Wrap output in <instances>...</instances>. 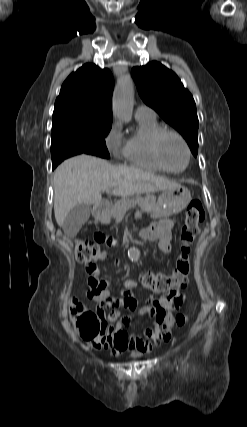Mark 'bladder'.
<instances>
[{
  "label": "bladder",
  "mask_w": 247,
  "mask_h": 427,
  "mask_svg": "<svg viewBox=\"0 0 247 427\" xmlns=\"http://www.w3.org/2000/svg\"><path fill=\"white\" fill-rule=\"evenodd\" d=\"M131 357L132 358H139V357H141V354L140 353H134L131 355Z\"/></svg>",
  "instance_id": "bladder-1"
}]
</instances>
